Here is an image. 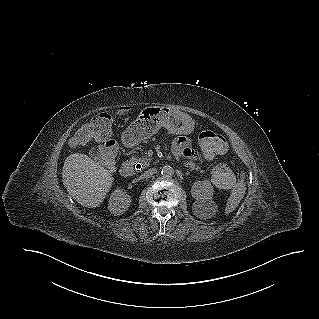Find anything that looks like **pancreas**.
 Here are the masks:
<instances>
[{
  "instance_id": "1",
  "label": "pancreas",
  "mask_w": 319,
  "mask_h": 319,
  "mask_svg": "<svg viewBox=\"0 0 319 319\" xmlns=\"http://www.w3.org/2000/svg\"><path fill=\"white\" fill-rule=\"evenodd\" d=\"M133 161L136 163H140L143 166V168H146L150 164L151 159L148 158L147 156H142V157L133 158ZM183 165L184 167L189 168L191 170L203 172V170H201V167L199 165H196V163L193 161L184 162Z\"/></svg>"
}]
</instances>
